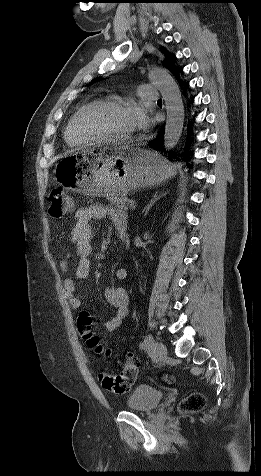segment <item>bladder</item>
<instances>
[{
	"label": "bladder",
	"mask_w": 261,
	"mask_h": 476,
	"mask_svg": "<svg viewBox=\"0 0 261 476\" xmlns=\"http://www.w3.org/2000/svg\"><path fill=\"white\" fill-rule=\"evenodd\" d=\"M162 398L161 391L148 385H139L129 394L126 406L134 412L148 413L157 408Z\"/></svg>",
	"instance_id": "1"
}]
</instances>
